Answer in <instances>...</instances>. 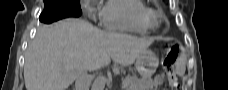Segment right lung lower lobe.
I'll list each match as a JSON object with an SVG mask.
<instances>
[{
	"label": "right lung lower lobe",
	"mask_w": 228,
	"mask_h": 90,
	"mask_svg": "<svg viewBox=\"0 0 228 90\" xmlns=\"http://www.w3.org/2000/svg\"><path fill=\"white\" fill-rule=\"evenodd\" d=\"M66 15H63L58 12L57 8L54 6H49L44 8L43 12L40 15V21L44 23H52L54 21L66 18Z\"/></svg>",
	"instance_id": "98d812e1"
}]
</instances>
